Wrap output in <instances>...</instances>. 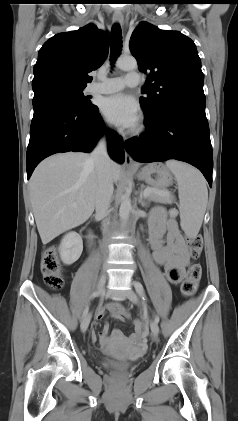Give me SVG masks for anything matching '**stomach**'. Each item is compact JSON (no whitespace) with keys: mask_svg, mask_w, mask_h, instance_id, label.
<instances>
[{"mask_svg":"<svg viewBox=\"0 0 238 421\" xmlns=\"http://www.w3.org/2000/svg\"><path fill=\"white\" fill-rule=\"evenodd\" d=\"M134 173L138 179L154 188L164 189L173 183L170 171L160 162L147 164L141 170H135Z\"/></svg>","mask_w":238,"mask_h":421,"instance_id":"1","label":"stomach"}]
</instances>
